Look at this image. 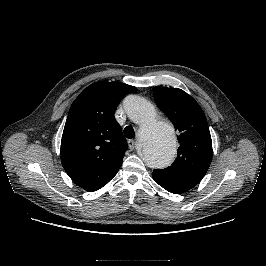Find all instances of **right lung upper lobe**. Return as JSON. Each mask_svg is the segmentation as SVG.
Masks as SVG:
<instances>
[{
	"instance_id": "cb5924a9",
	"label": "right lung upper lobe",
	"mask_w": 266,
	"mask_h": 266,
	"mask_svg": "<svg viewBox=\"0 0 266 266\" xmlns=\"http://www.w3.org/2000/svg\"><path fill=\"white\" fill-rule=\"evenodd\" d=\"M134 86L120 82H96L74 100L61 140V162L69 177L93 192L118 172L127 142L114 113Z\"/></svg>"
}]
</instances>
